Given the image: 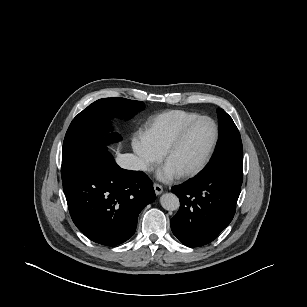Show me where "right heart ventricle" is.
<instances>
[{"label":"right heart ventricle","instance_id":"1","mask_svg":"<svg viewBox=\"0 0 307 307\" xmlns=\"http://www.w3.org/2000/svg\"><path fill=\"white\" fill-rule=\"evenodd\" d=\"M199 116L198 113L185 110L163 112L148 122L144 136L158 153L163 154L178 131Z\"/></svg>","mask_w":307,"mask_h":307}]
</instances>
